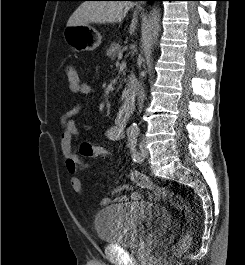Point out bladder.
I'll use <instances>...</instances> for the list:
<instances>
[{
    "mask_svg": "<svg viewBox=\"0 0 245 265\" xmlns=\"http://www.w3.org/2000/svg\"><path fill=\"white\" fill-rule=\"evenodd\" d=\"M170 224L167 211L147 201L111 204L94 217L101 241L126 248H140L162 235Z\"/></svg>",
    "mask_w": 245,
    "mask_h": 265,
    "instance_id": "31cf9c89",
    "label": "bladder"
}]
</instances>
